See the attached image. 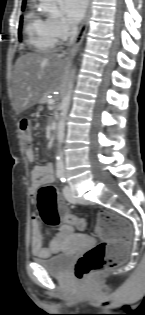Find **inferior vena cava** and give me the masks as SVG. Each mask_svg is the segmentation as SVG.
I'll use <instances>...</instances> for the list:
<instances>
[{
    "instance_id": "1",
    "label": "inferior vena cava",
    "mask_w": 145,
    "mask_h": 315,
    "mask_svg": "<svg viewBox=\"0 0 145 315\" xmlns=\"http://www.w3.org/2000/svg\"><path fill=\"white\" fill-rule=\"evenodd\" d=\"M78 33V28L76 26H72L69 32V36H70V45L73 43L76 35Z\"/></svg>"
}]
</instances>
